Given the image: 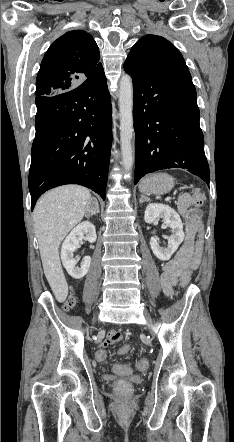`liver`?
<instances>
[{"instance_id": "liver-1", "label": "liver", "mask_w": 234, "mask_h": 442, "mask_svg": "<svg viewBox=\"0 0 234 442\" xmlns=\"http://www.w3.org/2000/svg\"><path fill=\"white\" fill-rule=\"evenodd\" d=\"M90 191L79 185H65L45 193L37 202L34 231L44 274L58 302H64L68 285L59 258V246L68 232L86 214Z\"/></svg>"}]
</instances>
